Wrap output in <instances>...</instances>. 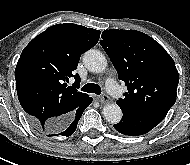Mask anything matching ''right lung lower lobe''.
<instances>
[{"label": "right lung lower lobe", "mask_w": 190, "mask_h": 165, "mask_svg": "<svg viewBox=\"0 0 190 165\" xmlns=\"http://www.w3.org/2000/svg\"><path fill=\"white\" fill-rule=\"evenodd\" d=\"M91 102H92V98L89 97L84 103H82L77 108V110L72 115L71 119L65 124V126L63 128L49 131V132H46L45 134H47V136H49V137L58 136V135L68 137V136L72 135L76 130L78 121H79L80 117L82 116L83 111L85 110L86 107H88L90 105ZM28 121L31 123L32 126H34L36 129H38L37 122L35 119L28 117Z\"/></svg>", "instance_id": "1"}]
</instances>
